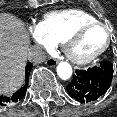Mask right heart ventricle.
Returning a JSON list of instances; mask_svg holds the SVG:
<instances>
[{"instance_id":"e07e8e85","label":"right heart ventricle","mask_w":117,"mask_h":117,"mask_svg":"<svg viewBox=\"0 0 117 117\" xmlns=\"http://www.w3.org/2000/svg\"><path fill=\"white\" fill-rule=\"evenodd\" d=\"M92 21L97 19L90 13L69 9L46 14L41 24L55 42L62 43L79 26Z\"/></svg>"}]
</instances>
